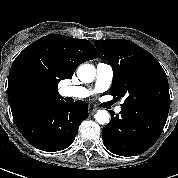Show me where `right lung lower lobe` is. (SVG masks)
<instances>
[{
    "label": "right lung lower lobe",
    "mask_w": 178,
    "mask_h": 178,
    "mask_svg": "<svg viewBox=\"0 0 178 178\" xmlns=\"http://www.w3.org/2000/svg\"><path fill=\"white\" fill-rule=\"evenodd\" d=\"M12 115L23 137L46 152L69 147L80 124L89 116L86 102L66 103L61 97L26 104Z\"/></svg>",
    "instance_id": "98d812e1"
}]
</instances>
